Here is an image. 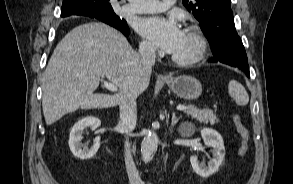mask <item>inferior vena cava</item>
<instances>
[{
	"label": "inferior vena cava",
	"mask_w": 293,
	"mask_h": 184,
	"mask_svg": "<svg viewBox=\"0 0 293 184\" xmlns=\"http://www.w3.org/2000/svg\"><path fill=\"white\" fill-rule=\"evenodd\" d=\"M155 50V46L150 43H141L139 46L141 63L148 72H151L152 66L155 63ZM138 95L136 92H127L120 100L119 125L126 134L130 133L136 125V99ZM125 165L130 184H143L134 164L128 140L125 141Z\"/></svg>",
	"instance_id": "1"
}]
</instances>
